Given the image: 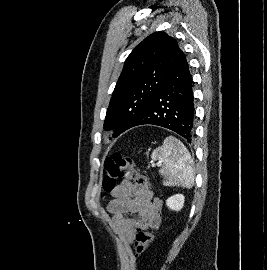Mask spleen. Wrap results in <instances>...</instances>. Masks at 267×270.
Segmentation results:
<instances>
[{
  "instance_id": "obj_1",
  "label": "spleen",
  "mask_w": 267,
  "mask_h": 270,
  "mask_svg": "<svg viewBox=\"0 0 267 270\" xmlns=\"http://www.w3.org/2000/svg\"><path fill=\"white\" fill-rule=\"evenodd\" d=\"M151 158L163 163L160 173L167 179L166 185H182L187 188L194 185L191 155L184 144L174 136L166 137L162 146L153 151Z\"/></svg>"
}]
</instances>
